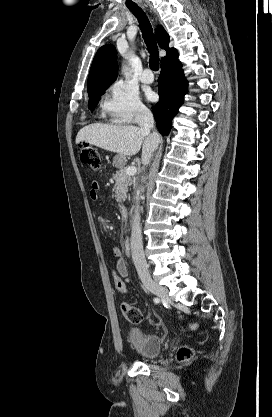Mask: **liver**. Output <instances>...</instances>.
Wrapping results in <instances>:
<instances>
[{
    "label": "liver",
    "mask_w": 272,
    "mask_h": 417,
    "mask_svg": "<svg viewBox=\"0 0 272 417\" xmlns=\"http://www.w3.org/2000/svg\"><path fill=\"white\" fill-rule=\"evenodd\" d=\"M153 135L133 125L91 124L80 129L76 143L82 141L124 156L137 154L142 147V163L147 165L160 142Z\"/></svg>",
    "instance_id": "obj_1"
}]
</instances>
